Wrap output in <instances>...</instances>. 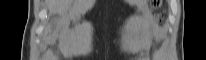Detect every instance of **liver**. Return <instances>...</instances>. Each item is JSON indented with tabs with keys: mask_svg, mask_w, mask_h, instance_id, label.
I'll return each mask as SVG.
<instances>
[{
	"mask_svg": "<svg viewBox=\"0 0 206 60\" xmlns=\"http://www.w3.org/2000/svg\"><path fill=\"white\" fill-rule=\"evenodd\" d=\"M74 2H77V0H48L47 4L51 13L63 14Z\"/></svg>",
	"mask_w": 206,
	"mask_h": 60,
	"instance_id": "liver-1",
	"label": "liver"
}]
</instances>
